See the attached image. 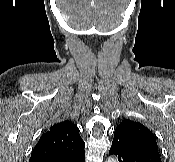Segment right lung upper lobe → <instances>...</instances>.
Segmentation results:
<instances>
[{"label": "right lung upper lobe", "instance_id": "cb5924a9", "mask_svg": "<svg viewBox=\"0 0 175 162\" xmlns=\"http://www.w3.org/2000/svg\"><path fill=\"white\" fill-rule=\"evenodd\" d=\"M85 143L79 135L78 127L64 121L53 125L36 144L30 162H43L48 158L76 157L84 153Z\"/></svg>", "mask_w": 175, "mask_h": 162}]
</instances>
